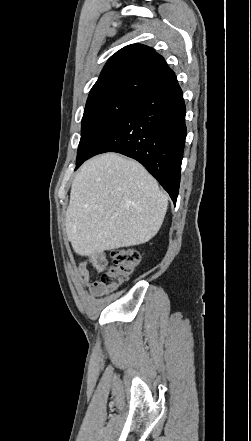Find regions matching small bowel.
<instances>
[{
  "instance_id": "small-bowel-1",
  "label": "small bowel",
  "mask_w": 251,
  "mask_h": 441,
  "mask_svg": "<svg viewBox=\"0 0 251 441\" xmlns=\"http://www.w3.org/2000/svg\"><path fill=\"white\" fill-rule=\"evenodd\" d=\"M89 264H92L98 271H102L107 264V259L104 255L97 254L80 260L77 264V274L80 283L92 296L100 297L110 293L114 287H108L99 280L91 282L88 269Z\"/></svg>"
}]
</instances>
